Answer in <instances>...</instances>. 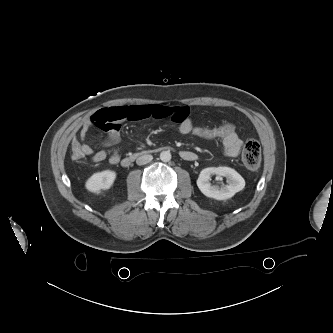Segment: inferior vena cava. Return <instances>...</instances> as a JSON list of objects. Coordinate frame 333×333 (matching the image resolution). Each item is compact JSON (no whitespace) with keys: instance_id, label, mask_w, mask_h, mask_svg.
I'll use <instances>...</instances> for the list:
<instances>
[{"instance_id":"1","label":"inferior vena cava","mask_w":333,"mask_h":333,"mask_svg":"<svg viewBox=\"0 0 333 333\" xmlns=\"http://www.w3.org/2000/svg\"><path fill=\"white\" fill-rule=\"evenodd\" d=\"M152 159H153L152 155L146 154V155H142V156L138 157L136 160V163H137V165H144V164L149 163Z\"/></svg>"}]
</instances>
